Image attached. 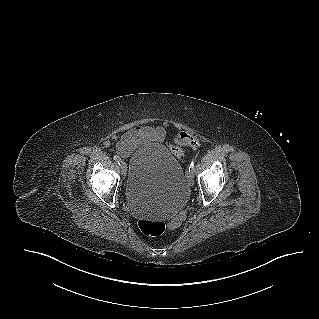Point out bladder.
<instances>
[{"instance_id": "1", "label": "bladder", "mask_w": 319, "mask_h": 319, "mask_svg": "<svg viewBox=\"0 0 319 319\" xmlns=\"http://www.w3.org/2000/svg\"><path fill=\"white\" fill-rule=\"evenodd\" d=\"M125 197L139 215H172L188 199L187 177L182 165L160 143L141 147L126 167Z\"/></svg>"}]
</instances>
